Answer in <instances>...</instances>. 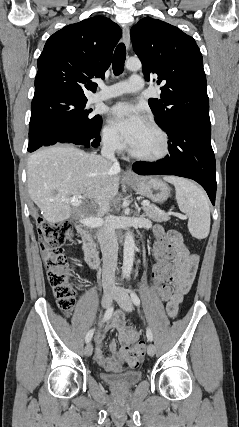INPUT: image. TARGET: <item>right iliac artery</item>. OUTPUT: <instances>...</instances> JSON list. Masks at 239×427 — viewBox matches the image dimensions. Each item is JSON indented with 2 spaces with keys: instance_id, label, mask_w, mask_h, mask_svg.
Returning a JSON list of instances; mask_svg holds the SVG:
<instances>
[{
  "instance_id": "right-iliac-artery-1",
  "label": "right iliac artery",
  "mask_w": 239,
  "mask_h": 427,
  "mask_svg": "<svg viewBox=\"0 0 239 427\" xmlns=\"http://www.w3.org/2000/svg\"><path fill=\"white\" fill-rule=\"evenodd\" d=\"M112 314H113V307L111 306V307H109V308L106 310L105 315H104V318H103V322H105V321H107L108 319H110V317L112 316ZM93 333H94V329H91V330L87 333V335H86V337H85V341H86V343H89V342L91 341L92 336H93Z\"/></svg>"
}]
</instances>
